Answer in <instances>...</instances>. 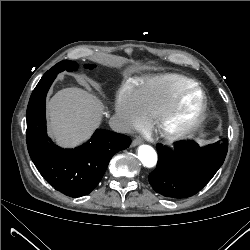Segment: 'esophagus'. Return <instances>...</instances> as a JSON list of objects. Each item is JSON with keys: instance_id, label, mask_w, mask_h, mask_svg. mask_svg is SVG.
<instances>
[{"instance_id": "esophagus-1", "label": "esophagus", "mask_w": 250, "mask_h": 250, "mask_svg": "<svg viewBox=\"0 0 250 250\" xmlns=\"http://www.w3.org/2000/svg\"><path fill=\"white\" fill-rule=\"evenodd\" d=\"M142 142H143V140H142L140 137H136V138L132 141L131 145H132L133 147H135V146L140 145Z\"/></svg>"}]
</instances>
